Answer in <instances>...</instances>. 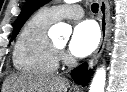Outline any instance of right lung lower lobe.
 Instances as JSON below:
<instances>
[{
  "mask_svg": "<svg viewBox=\"0 0 127 92\" xmlns=\"http://www.w3.org/2000/svg\"><path fill=\"white\" fill-rule=\"evenodd\" d=\"M88 65L83 63L72 71V78L74 81L87 84V80L90 78V72H87Z\"/></svg>",
  "mask_w": 127,
  "mask_h": 92,
  "instance_id": "1",
  "label": "right lung lower lobe"
}]
</instances>
